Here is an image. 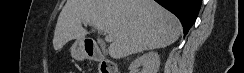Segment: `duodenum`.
Listing matches in <instances>:
<instances>
[{
    "mask_svg": "<svg viewBox=\"0 0 244 73\" xmlns=\"http://www.w3.org/2000/svg\"><path fill=\"white\" fill-rule=\"evenodd\" d=\"M86 57L101 64L99 73H116L115 65L105 58L104 50L98 43H85Z\"/></svg>",
    "mask_w": 244,
    "mask_h": 73,
    "instance_id": "410a0bca",
    "label": "duodenum"
}]
</instances>
